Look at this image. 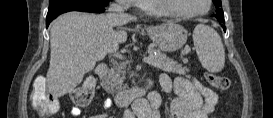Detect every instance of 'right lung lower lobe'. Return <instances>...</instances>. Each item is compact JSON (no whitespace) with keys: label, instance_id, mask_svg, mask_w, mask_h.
I'll use <instances>...</instances> for the list:
<instances>
[{"label":"right lung lower lobe","instance_id":"obj_1","mask_svg":"<svg viewBox=\"0 0 273 118\" xmlns=\"http://www.w3.org/2000/svg\"><path fill=\"white\" fill-rule=\"evenodd\" d=\"M69 11L102 13L105 11V8L104 6L81 2L79 0H51L49 2V9L46 18V27H48L50 22L58 15Z\"/></svg>","mask_w":273,"mask_h":118}]
</instances>
